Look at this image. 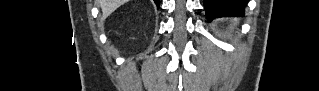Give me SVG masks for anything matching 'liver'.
I'll list each match as a JSON object with an SVG mask.
<instances>
[{"instance_id": "1", "label": "liver", "mask_w": 319, "mask_h": 91, "mask_svg": "<svg viewBox=\"0 0 319 91\" xmlns=\"http://www.w3.org/2000/svg\"><path fill=\"white\" fill-rule=\"evenodd\" d=\"M98 2L101 6L103 17L106 18L128 0H99Z\"/></svg>"}]
</instances>
